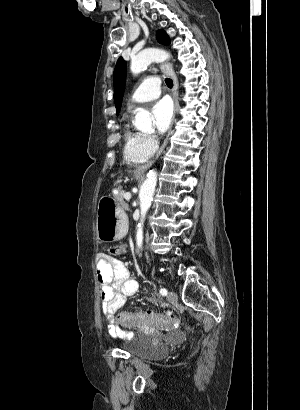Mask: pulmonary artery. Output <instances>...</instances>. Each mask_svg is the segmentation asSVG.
I'll return each mask as SVG.
<instances>
[{
    "label": "pulmonary artery",
    "instance_id": "e3ab8cb5",
    "mask_svg": "<svg viewBox=\"0 0 300 410\" xmlns=\"http://www.w3.org/2000/svg\"><path fill=\"white\" fill-rule=\"evenodd\" d=\"M161 94L160 81L156 76H148L145 78L139 87L133 92L130 102V107H134L141 103L153 100Z\"/></svg>",
    "mask_w": 300,
    "mask_h": 410
}]
</instances>
